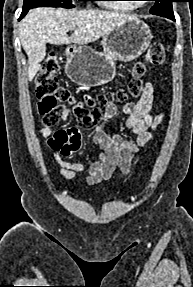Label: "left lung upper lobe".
I'll return each instance as SVG.
<instances>
[{
  "mask_svg": "<svg viewBox=\"0 0 193 287\" xmlns=\"http://www.w3.org/2000/svg\"><path fill=\"white\" fill-rule=\"evenodd\" d=\"M155 5L150 9V13L171 19L174 17L172 2L174 0H153Z\"/></svg>",
  "mask_w": 193,
  "mask_h": 287,
  "instance_id": "left-lung-upper-lobe-1",
  "label": "left lung upper lobe"
}]
</instances>
